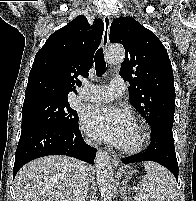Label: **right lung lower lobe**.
<instances>
[{
    "mask_svg": "<svg viewBox=\"0 0 196 201\" xmlns=\"http://www.w3.org/2000/svg\"><path fill=\"white\" fill-rule=\"evenodd\" d=\"M97 150L87 145L78 125L71 130L34 125L21 131L16 149L13 177L29 161L47 155H66L94 164Z\"/></svg>",
    "mask_w": 196,
    "mask_h": 201,
    "instance_id": "obj_1",
    "label": "right lung lower lobe"
}]
</instances>
